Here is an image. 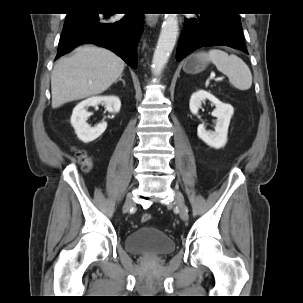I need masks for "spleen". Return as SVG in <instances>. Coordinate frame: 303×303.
<instances>
[{"instance_id":"1","label":"spleen","mask_w":303,"mask_h":303,"mask_svg":"<svg viewBox=\"0 0 303 303\" xmlns=\"http://www.w3.org/2000/svg\"><path fill=\"white\" fill-rule=\"evenodd\" d=\"M200 56L211 61L216 68L228 76L230 83L239 90H248L252 85V74L247 64L238 56L220 49H211Z\"/></svg>"}]
</instances>
